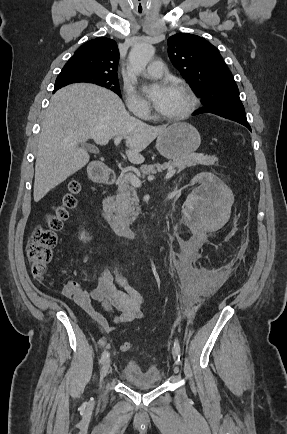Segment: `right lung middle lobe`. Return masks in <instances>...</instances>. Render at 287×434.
<instances>
[{
  "label": "right lung middle lobe",
  "mask_w": 287,
  "mask_h": 434,
  "mask_svg": "<svg viewBox=\"0 0 287 434\" xmlns=\"http://www.w3.org/2000/svg\"><path fill=\"white\" fill-rule=\"evenodd\" d=\"M71 83H92L108 88L121 97L117 77L87 73L78 69L63 68L55 86L63 87Z\"/></svg>",
  "instance_id": "right-lung-middle-lobe-1"
}]
</instances>
